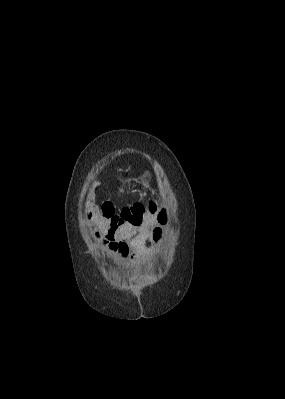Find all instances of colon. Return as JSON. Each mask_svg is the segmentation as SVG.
<instances>
[{
	"label": "colon",
	"mask_w": 285,
	"mask_h": 399,
	"mask_svg": "<svg viewBox=\"0 0 285 399\" xmlns=\"http://www.w3.org/2000/svg\"><path fill=\"white\" fill-rule=\"evenodd\" d=\"M148 207L150 210H153V203L149 202L147 203ZM87 210L90 212L91 218L98 219L99 221L104 222V230L107 232L106 236H108V232L111 230H115L119 226H122L124 223V219L120 217L119 214L115 213V211L112 209L111 205L104 203L101 205L100 209L97 211L94 209L92 205L87 206ZM158 221L163 222L164 217L163 214H160L158 217ZM98 235H100L102 238V234L100 232H97ZM112 245L118 246L119 252L121 253L122 256H125L127 254V246L125 243H120V242H113Z\"/></svg>",
	"instance_id": "5ec220e1"
}]
</instances>
